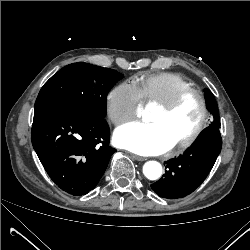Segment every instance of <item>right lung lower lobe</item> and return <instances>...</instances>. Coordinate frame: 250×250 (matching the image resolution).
<instances>
[{"instance_id":"obj_1","label":"right lung lower lobe","mask_w":250,"mask_h":250,"mask_svg":"<svg viewBox=\"0 0 250 250\" xmlns=\"http://www.w3.org/2000/svg\"><path fill=\"white\" fill-rule=\"evenodd\" d=\"M106 120L58 106L36 108L33 147L50 178L80 196L93 190L116 150L109 146Z\"/></svg>"}]
</instances>
